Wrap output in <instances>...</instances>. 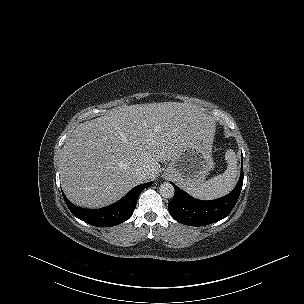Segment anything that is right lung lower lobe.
<instances>
[{
  "label": "right lung lower lobe",
  "instance_id": "right-lung-lower-lobe-1",
  "mask_svg": "<svg viewBox=\"0 0 304 304\" xmlns=\"http://www.w3.org/2000/svg\"><path fill=\"white\" fill-rule=\"evenodd\" d=\"M152 182L135 186L118 202L101 209H84L71 204L63 194L71 213L78 219L97 227H111L126 221L133 214L138 196Z\"/></svg>",
  "mask_w": 304,
  "mask_h": 304
}]
</instances>
